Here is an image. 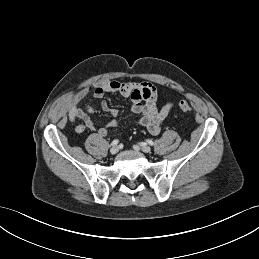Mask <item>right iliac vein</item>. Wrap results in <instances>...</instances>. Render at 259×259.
<instances>
[{
  "label": "right iliac vein",
  "mask_w": 259,
  "mask_h": 259,
  "mask_svg": "<svg viewBox=\"0 0 259 259\" xmlns=\"http://www.w3.org/2000/svg\"><path fill=\"white\" fill-rule=\"evenodd\" d=\"M119 151V148L117 146H114L110 149V153L112 155H115Z\"/></svg>",
  "instance_id": "63e3f726"
}]
</instances>
